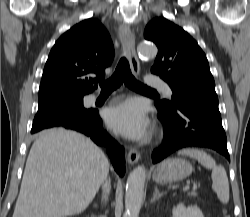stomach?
Masks as SVG:
<instances>
[{
	"mask_svg": "<svg viewBox=\"0 0 250 217\" xmlns=\"http://www.w3.org/2000/svg\"><path fill=\"white\" fill-rule=\"evenodd\" d=\"M192 165L185 159L170 158L160 163L153 172L156 183L165 184L187 178L192 173Z\"/></svg>",
	"mask_w": 250,
	"mask_h": 217,
	"instance_id": "1",
	"label": "stomach"
}]
</instances>
